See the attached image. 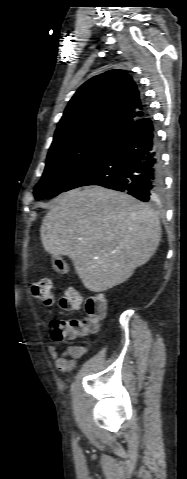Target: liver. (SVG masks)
<instances>
[{
  "mask_svg": "<svg viewBox=\"0 0 187 479\" xmlns=\"http://www.w3.org/2000/svg\"><path fill=\"white\" fill-rule=\"evenodd\" d=\"M40 236L53 257L68 256L83 285L103 292L128 280L155 254L158 215L132 196L87 186L58 196Z\"/></svg>",
  "mask_w": 187,
  "mask_h": 479,
  "instance_id": "obj_1",
  "label": "liver"
}]
</instances>
